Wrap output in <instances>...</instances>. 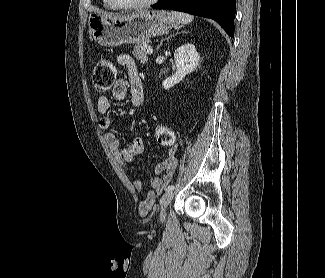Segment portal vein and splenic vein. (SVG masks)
I'll list each match as a JSON object with an SVG mask.
<instances>
[{
  "label": "portal vein and splenic vein",
  "instance_id": "1",
  "mask_svg": "<svg viewBox=\"0 0 325 278\" xmlns=\"http://www.w3.org/2000/svg\"><path fill=\"white\" fill-rule=\"evenodd\" d=\"M147 53H148V54H152V53H153V49H152L151 47H149V48L147 49Z\"/></svg>",
  "mask_w": 325,
  "mask_h": 278
}]
</instances>
